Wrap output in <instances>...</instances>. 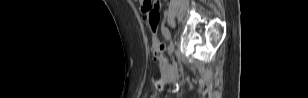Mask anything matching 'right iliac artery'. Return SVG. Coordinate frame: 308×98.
Here are the masks:
<instances>
[{
	"mask_svg": "<svg viewBox=\"0 0 308 98\" xmlns=\"http://www.w3.org/2000/svg\"><path fill=\"white\" fill-rule=\"evenodd\" d=\"M162 34L164 35L167 41L170 39V32L167 28H162Z\"/></svg>",
	"mask_w": 308,
	"mask_h": 98,
	"instance_id": "right-iliac-artery-1",
	"label": "right iliac artery"
}]
</instances>
